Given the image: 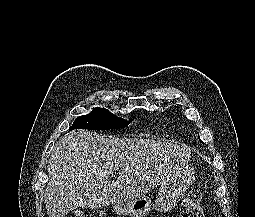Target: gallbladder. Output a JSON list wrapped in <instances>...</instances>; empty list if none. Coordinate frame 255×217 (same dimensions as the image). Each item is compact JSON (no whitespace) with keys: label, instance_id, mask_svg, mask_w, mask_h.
<instances>
[{"label":"gallbladder","instance_id":"gallbladder-1","mask_svg":"<svg viewBox=\"0 0 255 217\" xmlns=\"http://www.w3.org/2000/svg\"><path fill=\"white\" fill-rule=\"evenodd\" d=\"M73 213H74L75 217H84L83 210L77 209V210H74Z\"/></svg>","mask_w":255,"mask_h":217}]
</instances>
